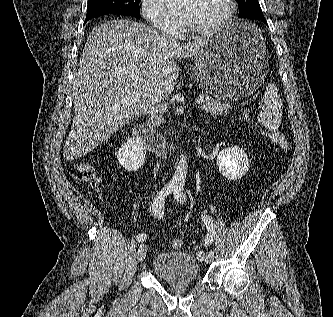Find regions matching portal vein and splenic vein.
Segmentation results:
<instances>
[{
	"label": "portal vein and splenic vein",
	"instance_id": "portal-vein-and-splenic-vein-1",
	"mask_svg": "<svg viewBox=\"0 0 333 317\" xmlns=\"http://www.w3.org/2000/svg\"><path fill=\"white\" fill-rule=\"evenodd\" d=\"M135 96H138V93L133 92L132 95H131V97H135ZM196 103L199 104V105L204 104V97H200L199 99H197V100H196ZM258 108L261 109L262 106L259 105Z\"/></svg>",
	"mask_w": 333,
	"mask_h": 317
}]
</instances>
